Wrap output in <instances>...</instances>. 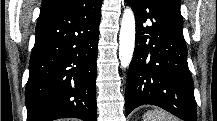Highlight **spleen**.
<instances>
[{
    "label": "spleen",
    "instance_id": "1",
    "mask_svg": "<svg viewBox=\"0 0 217 121\" xmlns=\"http://www.w3.org/2000/svg\"><path fill=\"white\" fill-rule=\"evenodd\" d=\"M144 121H176V119L162 110L155 109L144 114Z\"/></svg>",
    "mask_w": 217,
    "mask_h": 121
}]
</instances>
